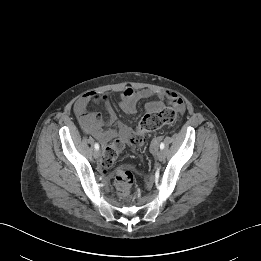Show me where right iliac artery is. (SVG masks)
<instances>
[{
	"instance_id": "right-iliac-artery-1",
	"label": "right iliac artery",
	"mask_w": 261,
	"mask_h": 261,
	"mask_svg": "<svg viewBox=\"0 0 261 261\" xmlns=\"http://www.w3.org/2000/svg\"><path fill=\"white\" fill-rule=\"evenodd\" d=\"M94 148H95L96 150H99V144H98V143H95Z\"/></svg>"
}]
</instances>
